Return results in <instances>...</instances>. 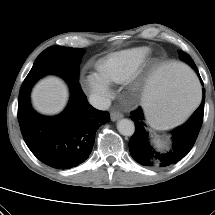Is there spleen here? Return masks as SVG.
<instances>
[{
	"instance_id": "3e777b00",
	"label": "spleen",
	"mask_w": 215,
	"mask_h": 215,
	"mask_svg": "<svg viewBox=\"0 0 215 215\" xmlns=\"http://www.w3.org/2000/svg\"><path fill=\"white\" fill-rule=\"evenodd\" d=\"M200 99L198 79L186 65L171 62L161 66L148 81L143 107L151 125L165 129L181 122Z\"/></svg>"
}]
</instances>
